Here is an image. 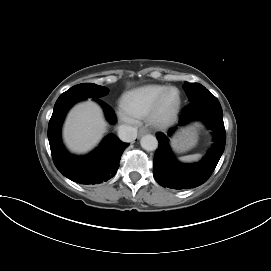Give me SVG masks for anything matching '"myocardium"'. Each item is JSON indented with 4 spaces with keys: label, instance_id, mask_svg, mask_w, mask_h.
<instances>
[{
    "label": "myocardium",
    "instance_id": "f54148a6",
    "mask_svg": "<svg viewBox=\"0 0 271 271\" xmlns=\"http://www.w3.org/2000/svg\"><path fill=\"white\" fill-rule=\"evenodd\" d=\"M176 92L177 100L174 106L168 110L164 108V102L170 92ZM182 104L181 92L177 87H167L155 100L148 113L149 121L156 127H166L170 125L177 117Z\"/></svg>",
    "mask_w": 271,
    "mask_h": 271
}]
</instances>
